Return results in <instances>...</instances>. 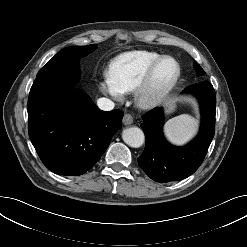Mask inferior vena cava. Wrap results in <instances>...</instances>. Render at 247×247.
<instances>
[{
	"instance_id": "602c4592",
	"label": "inferior vena cava",
	"mask_w": 247,
	"mask_h": 247,
	"mask_svg": "<svg viewBox=\"0 0 247 247\" xmlns=\"http://www.w3.org/2000/svg\"><path fill=\"white\" fill-rule=\"evenodd\" d=\"M97 106L101 110L110 111V110H113L114 109L115 104L110 99H107V98H99L97 100Z\"/></svg>"
}]
</instances>
